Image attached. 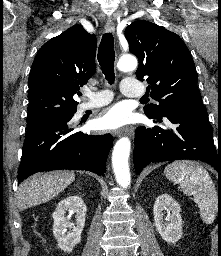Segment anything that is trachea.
<instances>
[{"label": "trachea", "instance_id": "1", "mask_svg": "<svg viewBox=\"0 0 221 256\" xmlns=\"http://www.w3.org/2000/svg\"><path fill=\"white\" fill-rule=\"evenodd\" d=\"M113 44L114 41L112 34L106 33L102 36V40L98 48V61L101 66L102 72L105 75L106 80L110 84H113L115 80V52Z\"/></svg>", "mask_w": 221, "mask_h": 256}]
</instances>
